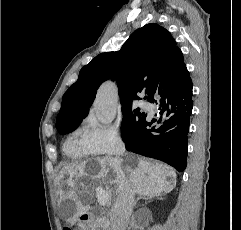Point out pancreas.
<instances>
[{
  "label": "pancreas",
  "mask_w": 241,
  "mask_h": 230,
  "mask_svg": "<svg viewBox=\"0 0 241 230\" xmlns=\"http://www.w3.org/2000/svg\"><path fill=\"white\" fill-rule=\"evenodd\" d=\"M91 230H109V222L105 217H96L91 224Z\"/></svg>",
  "instance_id": "cf45deb5"
}]
</instances>
